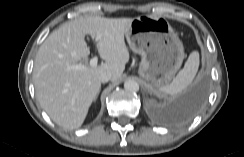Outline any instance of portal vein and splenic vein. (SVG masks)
<instances>
[{
	"mask_svg": "<svg viewBox=\"0 0 244 157\" xmlns=\"http://www.w3.org/2000/svg\"><path fill=\"white\" fill-rule=\"evenodd\" d=\"M99 39V37L96 38V41ZM98 58L95 56L90 60V65L92 67L97 66ZM73 70H83L85 69V66L82 64H77L71 67Z\"/></svg>",
	"mask_w": 244,
	"mask_h": 157,
	"instance_id": "obj_1",
	"label": "portal vein and splenic vein"
}]
</instances>
